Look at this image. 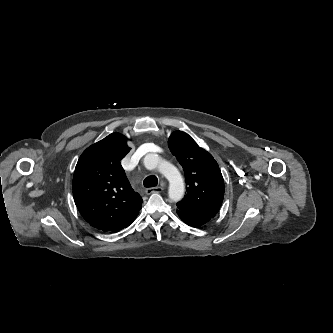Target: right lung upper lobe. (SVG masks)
I'll use <instances>...</instances> for the list:
<instances>
[{
    "label": "right lung upper lobe",
    "instance_id": "obj_1",
    "mask_svg": "<svg viewBox=\"0 0 333 333\" xmlns=\"http://www.w3.org/2000/svg\"><path fill=\"white\" fill-rule=\"evenodd\" d=\"M131 150L127 138L112 133L80 156L73 176V195L82 217L94 228L118 232L137 217L142 198L120 161Z\"/></svg>",
    "mask_w": 333,
    "mask_h": 333
}]
</instances>
